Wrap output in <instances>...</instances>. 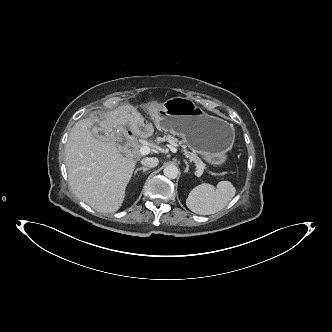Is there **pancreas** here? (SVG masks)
<instances>
[{"label":"pancreas","instance_id":"1","mask_svg":"<svg viewBox=\"0 0 332 332\" xmlns=\"http://www.w3.org/2000/svg\"><path fill=\"white\" fill-rule=\"evenodd\" d=\"M167 141L170 144L174 145V146H178L181 145V142L175 138L172 135H165L164 137H157L156 142H164ZM183 147V152L185 155L188 156V158L190 159V161H193L195 163V165L197 166V170H204L205 169V164L202 162V160L200 158H198L195 154V152H189L185 149V146L181 145Z\"/></svg>","mask_w":332,"mask_h":332}]
</instances>
